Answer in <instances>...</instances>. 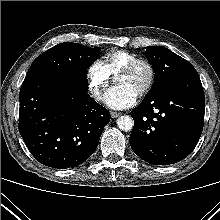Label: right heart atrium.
<instances>
[{
  "mask_svg": "<svg viewBox=\"0 0 220 220\" xmlns=\"http://www.w3.org/2000/svg\"><path fill=\"white\" fill-rule=\"evenodd\" d=\"M88 88L92 97L100 101L109 85L111 74L106 63L101 59L94 60L86 71Z\"/></svg>",
  "mask_w": 220,
  "mask_h": 220,
  "instance_id": "d8ad5b80",
  "label": "right heart atrium"
}]
</instances>
